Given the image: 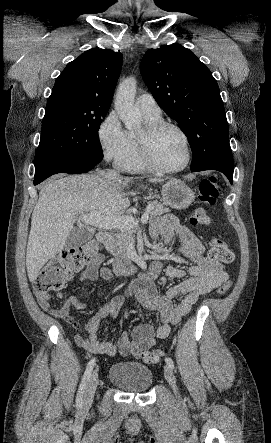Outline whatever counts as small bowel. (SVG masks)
<instances>
[{
  "instance_id": "obj_1",
  "label": "small bowel",
  "mask_w": 271,
  "mask_h": 443,
  "mask_svg": "<svg viewBox=\"0 0 271 443\" xmlns=\"http://www.w3.org/2000/svg\"><path fill=\"white\" fill-rule=\"evenodd\" d=\"M154 238L161 237L165 243L175 238L181 243L179 253L190 260L191 265L187 271L168 266L166 277L170 280H181L169 287L164 294H160L151 279L157 275L160 265L154 263L150 267L147 276L139 278L127 288L124 294L116 295L103 304L97 312L85 323L86 336L76 334L75 343L96 354L114 356L120 353L122 356L141 358L143 353L149 351L158 339H165L171 333L172 326L178 324L186 316L201 295L207 294L220 287L228 278L223 263L206 256L205 247L197 236L185 225L181 224L174 215L164 216L152 231ZM112 274L109 268H98L97 262L91 263L81 274V281H96L102 279L110 281ZM126 295H134L139 305L146 312H156L159 315L160 324L144 323L136 326L131 335L121 333L114 343L104 342L98 338L97 332L100 322L105 317L116 318ZM58 299L63 300L60 308H54L50 303V296H39L40 306L62 320L67 325L78 329L80 325L73 319L70 309L83 310L87 305L76 296L67 297L63 292L56 294ZM176 298H180L177 303Z\"/></svg>"
}]
</instances>
